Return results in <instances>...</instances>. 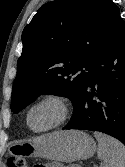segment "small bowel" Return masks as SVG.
Listing matches in <instances>:
<instances>
[{"instance_id": "c3829d8e", "label": "small bowel", "mask_w": 125, "mask_h": 167, "mask_svg": "<svg viewBox=\"0 0 125 167\" xmlns=\"http://www.w3.org/2000/svg\"><path fill=\"white\" fill-rule=\"evenodd\" d=\"M37 167H59V166H57L56 164H53V163H48V164L37 165Z\"/></svg>"}]
</instances>
